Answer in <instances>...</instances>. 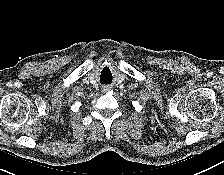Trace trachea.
Segmentation results:
<instances>
[{"label":"trachea","mask_w":224,"mask_h":175,"mask_svg":"<svg viewBox=\"0 0 224 175\" xmlns=\"http://www.w3.org/2000/svg\"><path fill=\"white\" fill-rule=\"evenodd\" d=\"M103 73H102V75H101V77H100V80H101V82L103 83V84H109V83H111V75H108V73L106 72V70L104 69L103 71H102Z\"/></svg>","instance_id":"obj_1"}]
</instances>
